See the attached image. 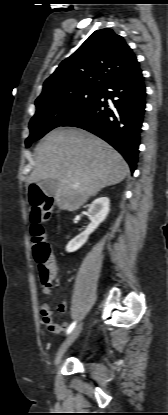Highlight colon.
<instances>
[{
	"instance_id": "5ec220e1",
	"label": "colon",
	"mask_w": 168,
	"mask_h": 415,
	"mask_svg": "<svg viewBox=\"0 0 168 415\" xmlns=\"http://www.w3.org/2000/svg\"><path fill=\"white\" fill-rule=\"evenodd\" d=\"M31 203V239L33 256L38 264L41 279L45 285L57 283V269L51 247L46 240L42 223L46 221L51 211V200L39 188L30 190Z\"/></svg>"
}]
</instances>
